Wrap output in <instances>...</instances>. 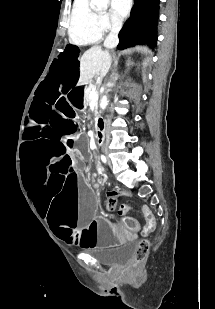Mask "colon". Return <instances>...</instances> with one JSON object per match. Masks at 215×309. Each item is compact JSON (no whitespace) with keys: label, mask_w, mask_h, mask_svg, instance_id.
<instances>
[{"label":"colon","mask_w":215,"mask_h":309,"mask_svg":"<svg viewBox=\"0 0 215 309\" xmlns=\"http://www.w3.org/2000/svg\"><path fill=\"white\" fill-rule=\"evenodd\" d=\"M116 208V195L114 193H110L107 196L106 202V210L110 213L114 212ZM150 244L146 240H142L137 245L136 258L138 260H144L149 252Z\"/></svg>","instance_id":"colon-1"}]
</instances>
